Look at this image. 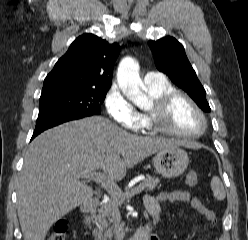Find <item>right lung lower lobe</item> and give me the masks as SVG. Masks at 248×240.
Listing matches in <instances>:
<instances>
[{"mask_svg": "<svg viewBox=\"0 0 248 240\" xmlns=\"http://www.w3.org/2000/svg\"><path fill=\"white\" fill-rule=\"evenodd\" d=\"M80 118L82 117H60V116L38 117L35 131L33 133L31 140L46 129H49L51 127L57 126L59 124H62L70 120H75Z\"/></svg>", "mask_w": 248, "mask_h": 240, "instance_id": "obj_1", "label": "right lung lower lobe"}]
</instances>
